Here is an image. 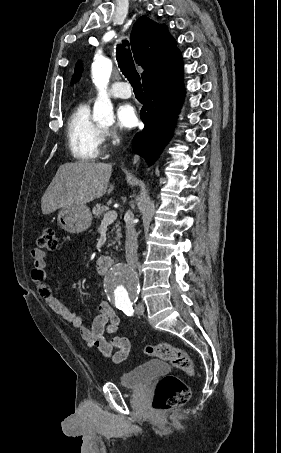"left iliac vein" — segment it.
Listing matches in <instances>:
<instances>
[{"instance_id": "1", "label": "left iliac vein", "mask_w": 281, "mask_h": 453, "mask_svg": "<svg viewBox=\"0 0 281 453\" xmlns=\"http://www.w3.org/2000/svg\"><path fill=\"white\" fill-rule=\"evenodd\" d=\"M135 312H137L138 315H143V312L145 310V307H143V303L139 302L138 304L135 305Z\"/></svg>"}]
</instances>
